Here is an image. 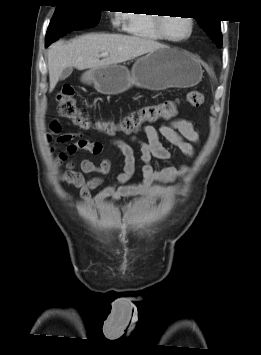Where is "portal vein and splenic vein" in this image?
Instances as JSON below:
<instances>
[{"mask_svg":"<svg viewBox=\"0 0 261 355\" xmlns=\"http://www.w3.org/2000/svg\"><path fill=\"white\" fill-rule=\"evenodd\" d=\"M100 56H101V57H106V56H108V52H102V53L100 54Z\"/></svg>","mask_w":261,"mask_h":355,"instance_id":"obj_1","label":"portal vein and splenic vein"}]
</instances>
